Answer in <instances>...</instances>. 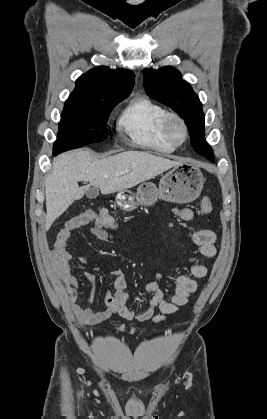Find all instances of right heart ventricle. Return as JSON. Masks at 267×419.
<instances>
[{"label":"right heart ventricle","instance_id":"obj_1","mask_svg":"<svg viewBox=\"0 0 267 419\" xmlns=\"http://www.w3.org/2000/svg\"><path fill=\"white\" fill-rule=\"evenodd\" d=\"M167 110L146 96L131 99L121 111L117 126L135 145L158 153H172L175 147L162 135Z\"/></svg>","mask_w":267,"mask_h":419}]
</instances>
